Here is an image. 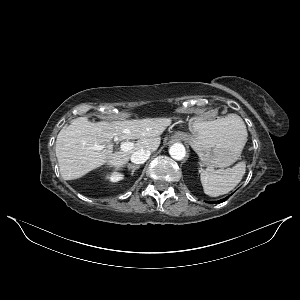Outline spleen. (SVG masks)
Masks as SVG:
<instances>
[{"instance_id":"1","label":"spleen","mask_w":300,"mask_h":300,"mask_svg":"<svg viewBox=\"0 0 300 300\" xmlns=\"http://www.w3.org/2000/svg\"><path fill=\"white\" fill-rule=\"evenodd\" d=\"M226 118L231 119L234 126L243 134V140L247 141V130L242 118L236 114H230ZM246 170L245 161H241L233 168L213 170L207 168L200 174L201 183L205 194L217 197L233 190L242 180Z\"/></svg>"}]
</instances>
